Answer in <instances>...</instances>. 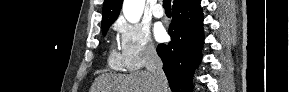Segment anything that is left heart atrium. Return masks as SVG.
I'll return each mask as SVG.
<instances>
[{
  "instance_id": "left-heart-atrium-1",
  "label": "left heart atrium",
  "mask_w": 289,
  "mask_h": 92,
  "mask_svg": "<svg viewBox=\"0 0 289 92\" xmlns=\"http://www.w3.org/2000/svg\"><path fill=\"white\" fill-rule=\"evenodd\" d=\"M154 35L157 41H163L166 37V31L161 24L154 27Z\"/></svg>"
}]
</instances>
